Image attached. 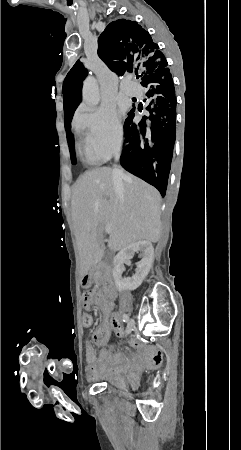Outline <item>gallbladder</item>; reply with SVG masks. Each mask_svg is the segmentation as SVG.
<instances>
[{"label":"gallbladder","instance_id":"gallbladder-1","mask_svg":"<svg viewBox=\"0 0 241 450\" xmlns=\"http://www.w3.org/2000/svg\"><path fill=\"white\" fill-rule=\"evenodd\" d=\"M110 258H111V254H107V252H106V254H105V260H110Z\"/></svg>","mask_w":241,"mask_h":450}]
</instances>
